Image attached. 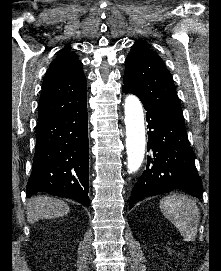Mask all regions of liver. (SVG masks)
Segmentation results:
<instances>
[{
    "label": "liver",
    "instance_id": "1",
    "mask_svg": "<svg viewBox=\"0 0 221 271\" xmlns=\"http://www.w3.org/2000/svg\"><path fill=\"white\" fill-rule=\"evenodd\" d=\"M70 207L63 199L56 197H48V195H37L32 197L27 205V221L34 223L38 219H52V217H60L67 215Z\"/></svg>",
    "mask_w": 221,
    "mask_h": 271
}]
</instances>
